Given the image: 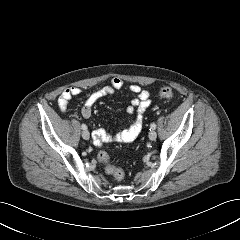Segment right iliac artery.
<instances>
[{
    "label": "right iliac artery",
    "mask_w": 240,
    "mask_h": 240,
    "mask_svg": "<svg viewBox=\"0 0 240 240\" xmlns=\"http://www.w3.org/2000/svg\"><path fill=\"white\" fill-rule=\"evenodd\" d=\"M81 127H82L83 130H86V129H87V126H86L85 124H82Z\"/></svg>",
    "instance_id": "82829eb1"
}]
</instances>
